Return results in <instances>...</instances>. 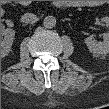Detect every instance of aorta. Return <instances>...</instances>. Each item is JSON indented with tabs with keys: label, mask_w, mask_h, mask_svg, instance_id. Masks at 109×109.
Masks as SVG:
<instances>
[{
	"label": "aorta",
	"mask_w": 109,
	"mask_h": 109,
	"mask_svg": "<svg viewBox=\"0 0 109 109\" xmlns=\"http://www.w3.org/2000/svg\"><path fill=\"white\" fill-rule=\"evenodd\" d=\"M56 23L57 21L54 16H47L44 18V21H43L44 27L49 29L55 27Z\"/></svg>",
	"instance_id": "762f6f07"
}]
</instances>
